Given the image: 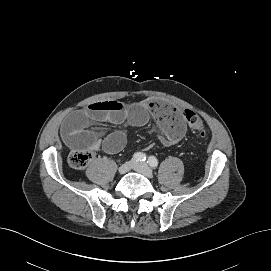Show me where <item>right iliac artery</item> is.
<instances>
[{
    "label": "right iliac artery",
    "mask_w": 271,
    "mask_h": 271,
    "mask_svg": "<svg viewBox=\"0 0 271 271\" xmlns=\"http://www.w3.org/2000/svg\"><path fill=\"white\" fill-rule=\"evenodd\" d=\"M132 160L136 162H144L146 160V155L141 152H137L133 155Z\"/></svg>",
    "instance_id": "1"
}]
</instances>
